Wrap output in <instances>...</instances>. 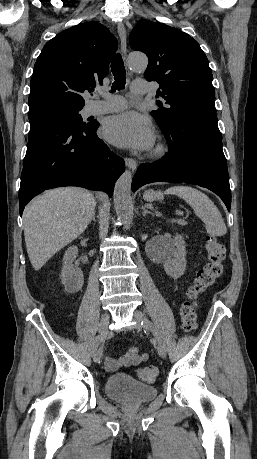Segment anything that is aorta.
<instances>
[{"instance_id": "762f6f07", "label": "aorta", "mask_w": 257, "mask_h": 459, "mask_svg": "<svg viewBox=\"0 0 257 459\" xmlns=\"http://www.w3.org/2000/svg\"><path fill=\"white\" fill-rule=\"evenodd\" d=\"M130 69H144L148 64V59L143 54H130L128 58ZM132 173L126 170L117 180L114 187V207L117 215L124 222L125 228H129L133 219V205L131 198Z\"/></svg>"}]
</instances>
